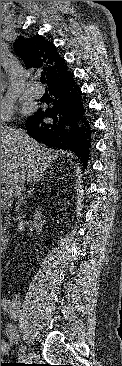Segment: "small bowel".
Instances as JSON below:
<instances>
[{
  "label": "small bowel",
  "instance_id": "small-bowel-1",
  "mask_svg": "<svg viewBox=\"0 0 122 366\" xmlns=\"http://www.w3.org/2000/svg\"><path fill=\"white\" fill-rule=\"evenodd\" d=\"M7 351V346L6 344L2 343L1 344V355L5 354Z\"/></svg>",
  "mask_w": 122,
  "mask_h": 366
}]
</instances>
